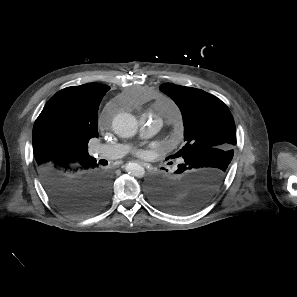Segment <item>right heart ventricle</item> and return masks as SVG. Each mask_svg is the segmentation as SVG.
<instances>
[{"label": "right heart ventricle", "instance_id": "right-heart-ventricle-1", "mask_svg": "<svg viewBox=\"0 0 297 297\" xmlns=\"http://www.w3.org/2000/svg\"><path fill=\"white\" fill-rule=\"evenodd\" d=\"M169 103V101H163L162 103H160L158 105V108L162 111H164L166 109V105Z\"/></svg>", "mask_w": 297, "mask_h": 297}]
</instances>
